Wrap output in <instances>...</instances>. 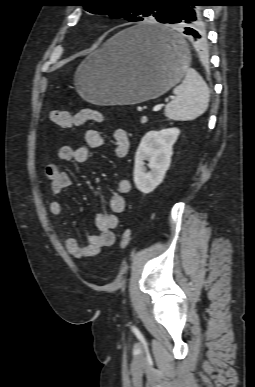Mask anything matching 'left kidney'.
I'll return each instance as SVG.
<instances>
[{"mask_svg":"<svg viewBox=\"0 0 255 387\" xmlns=\"http://www.w3.org/2000/svg\"><path fill=\"white\" fill-rule=\"evenodd\" d=\"M180 130L168 128L161 131H149L142 138L136 151L134 166V182L138 190L148 194L152 192L164 179L170 167L173 145ZM150 171H147L145 162Z\"/></svg>","mask_w":255,"mask_h":387,"instance_id":"5707ae66","label":"left kidney"}]
</instances>
